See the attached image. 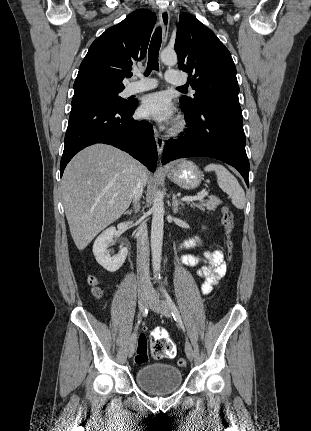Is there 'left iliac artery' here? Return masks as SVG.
Listing matches in <instances>:
<instances>
[{
	"instance_id": "44dca946",
	"label": "left iliac artery",
	"mask_w": 311,
	"mask_h": 431,
	"mask_svg": "<svg viewBox=\"0 0 311 431\" xmlns=\"http://www.w3.org/2000/svg\"><path fill=\"white\" fill-rule=\"evenodd\" d=\"M163 292L165 294V298L166 301L172 311V316L174 318V320L180 325V327L182 328V330L185 332V327L183 325L180 313L177 309V306L175 305V303L173 302V300L171 299V297L169 296V294L167 293V291L165 289H163Z\"/></svg>"
}]
</instances>
